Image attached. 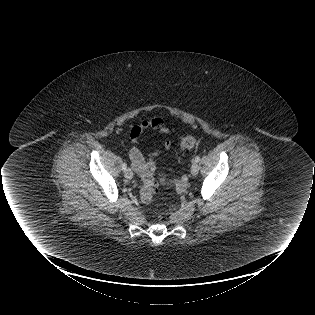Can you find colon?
<instances>
[{
    "mask_svg": "<svg viewBox=\"0 0 315 315\" xmlns=\"http://www.w3.org/2000/svg\"><path fill=\"white\" fill-rule=\"evenodd\" d=\"M197 143V139L194 136H186L181 142L180 146L183 149L189 150L193 148ZM156 162L153 158L148 160L140 171L141 187H140V198L144 203L152 201L155 193V174Z\"/></svg>",
    "mask_w": 315,
    "mask_h": 315,
    "instance_id": "5ec220e1",
    "label": "colon"
}]
</instances>
